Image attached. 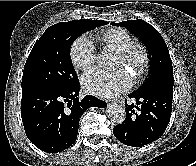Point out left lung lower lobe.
<instances>
[{"mask_svg":"<svg viewBox=\"0 0 196 166\" xmlns=\"http://www.w3.org/2000/svg\"><path fill=\"white\" fill-rule=\"evenodd\" d=\"M128 96L135 98L141 106L132 104L126 107V119L113 128L114 136L123 144L133 147H140L160 138L170 120L173 88L156 86Z\"/></svg>","mask_w":196,"mask_h":166,"instance_id":"obj_1","label":"left lung lower lobe"}]
</instances>
